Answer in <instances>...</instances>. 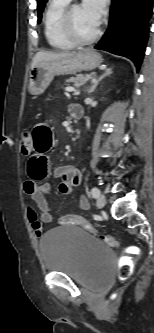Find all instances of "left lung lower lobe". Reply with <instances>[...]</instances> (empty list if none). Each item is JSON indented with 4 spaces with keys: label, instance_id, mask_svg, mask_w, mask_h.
<instances>
[{
    "label": "left lung lower lobe",
    "instance_id": "0a47b994",
    "mask_svg": "<svg viewBox=\"0 0 154 333\" xmlns=\"http://www.w3.org/2000/svg\"><path fill=\"white\" fill-rule=\"evenodd\" d=\"M154 0H112L109 26L96 49L131 59L139 69Z\"/></svg>",
    "mask_w": 154,
    "mask_h": 333
}]
</instances>
